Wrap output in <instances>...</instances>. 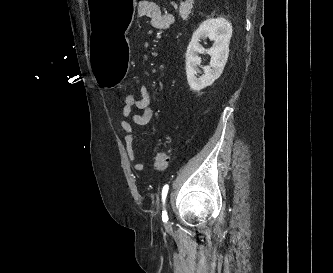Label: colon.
I'll list each match as a JSON object with an SVG mask.
<instances>
[{"label": "colon", "mask_w": 333, "mask_h": 273, "mask_svg": "<svg viewBox=\"0 0 333 273\" xmlns=\"http://www.w3.org/2000/svg\"><path fill=\"white\" fill-rule=\"evenodd\" d=\"M138 98L139 97H137L134 94H126L123 100L124 107L132 109L136 108ZM169 161H170V156L168 153L157 152L154 156V168L159 171L165 170L169 165Z\"/></svg>", "instance_id": "1"}]
</instances>
